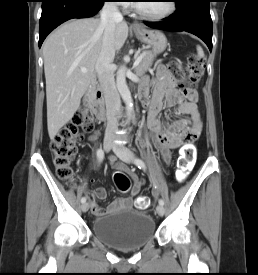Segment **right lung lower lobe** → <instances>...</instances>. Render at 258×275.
<instances>
[{"label": "right lung lower lobe", "mask_w": 258, "mask_h": 275, "mask_svg": "<svg viewBox=\"0 0 258 275\" xmlns=\"http://www.w3.org/2000/svg\"><path fill=\"white\" fill-rule=\"evenodd\" d=\"M105 0H42L39 22V47L47 35L63 22L94 16Z\"/></svg>", "instance_id": "1"}]
</instances>
